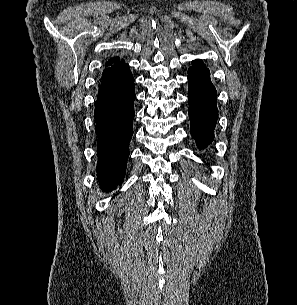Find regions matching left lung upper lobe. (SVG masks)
<instances>
[{
  "mask_svg": "<svg viewBox=\"0 0 297 305\" xmlns=\"http://www.w3.org/2000/svg\"><path fill=\"white\" fill-rule=\"evenodd\" d=\"M193 63L194 64H203V62L201 60H195Z\"/></svg>",
  "mask_w": 297,
  "mask_h": 305,
  "instance_id": "left-lung-upper-lobe-1",
  "label": "left lung upper lobe"
}]
</instances>
